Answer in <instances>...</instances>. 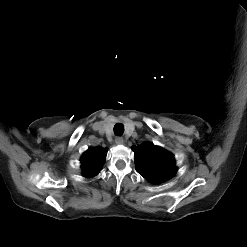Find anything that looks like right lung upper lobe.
<instances>
[{"instance_id":"cb5924a9","label":"right lung upper lobe","mask_w":247,"mask_h":247,"mask_svg":"<svg viewBox=\"0 0 247 247\" xmlns=\"http://www.w3.org/2000/svg\"><path fill=\"white\" fill-rule=\"evenodd\" d=\"M107 150L104 148H90L81 157L83 174L85 177L97 175L105 162Z\"/></svg>"}]
</instances>
